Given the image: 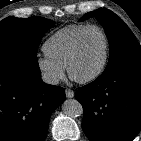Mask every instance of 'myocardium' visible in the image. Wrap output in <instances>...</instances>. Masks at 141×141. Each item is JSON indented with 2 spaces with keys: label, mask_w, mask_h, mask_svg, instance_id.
Wrapping results in <instances>:
<instances>
[{
  "label": "myocardium",
  "mask_w": 141,
  "mask_h": 141,
  "mask_svg": "<svg viewBox=\"0 0 141 141\" xmlns=\"http://www.w3.org/2000/svg\"><path fill=\"white\" fill-rule=\"evenodd\" d=\"M91 30L99 31L104 38V41H105L104 57H103L101 65L94 73H92L91 75H89L87 77L79 78L73 74L72 68H73V64H74L75 60L77 59V57L79 55L83 38ZM109 52H110V41H109L108 35L104 31V29H102L101 27L96 26V25L88 26L77 37L75 44L73 46V49L71 51V54L68 58V62H67L66 67H67V71H68L70 78L80 84H88V83L95 81L97 78H99L102 75V73L104 72V70L107 66L108 59H109Z\"/></svg>",
  "instance_id": "f54148a6"
}]
</instances>
